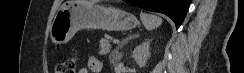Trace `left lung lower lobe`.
<instances>
[{"instance_id":"0a47b994","label":"left lung lower lobe","mask_w":244,"mask_h":73,"mask_svg":"<svg viewBox=\"0 0 244 73\" xmlns=\"http://www.w3.org/2000/svg\"><path fill=\"white\" fill-rule=\"evenodd\" d=\"M132 5L169 16L179 28L187 13L190 0H124Z\"/></svg>"}]
</instances>
